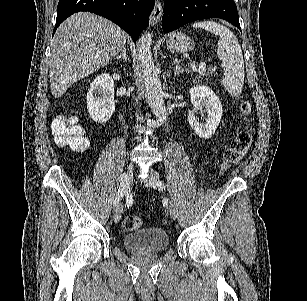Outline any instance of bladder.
Wrapping results in <instances>:
<instances>
[{"label":"bladder","instance_id":"1","mask_svg":"<svg viewBox=\"0 0 307 301\" xmlns=\"http://www.w3.org/2000/svg\"><path fill=\"white\" fill-rule=\"evenodd\" d=\"M128 248L139 252H159L167 249L169 237L160 228H145L122 238Z\"/></svg>","mask_w":307,"mask_h":301}]
</instances>
